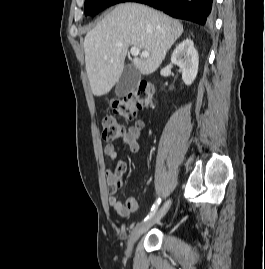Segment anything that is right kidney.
<instances>
[{
  "mask_svg": "<svg viewBox=\"0 0 265 269\" xmlns=\"http://www.w3.org/2000/svg\"><path fill=\"white\" fill-rule=\"evenodd\" d=\"M171 62L179 66L182 71V80L191 85L198 73L199 56L191 39L182 41L173 51Z\"/></svg>",
  "mask_w": 265,
  "mask_h": 269,
  "instance_id": "right-kidney-1",
  "label": "right kidney"
}]
</instances>
